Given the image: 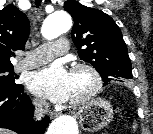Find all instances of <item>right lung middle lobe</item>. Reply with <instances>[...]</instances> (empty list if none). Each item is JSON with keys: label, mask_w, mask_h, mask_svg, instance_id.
I'll list each match as a JSON object with an SVG mask.
<instances>
[{"label": "right lung middle lobe", "mask_w": 153, "mask_h": 134, "mask_svg": "<svg viewBox=\"0 0 153 134\" xmlns=\"http://www.w3.org/2000/svg\"><path fill=\"white\" fill-rule=\"evenodd\" d=\"M12 70L13 67L0 69V87L14 89L22 86L15 83L16 77L14 76L15 74Z\"/></svg>", "instance_id": "1"}]
</instances>
